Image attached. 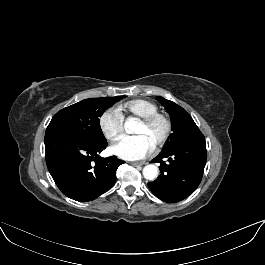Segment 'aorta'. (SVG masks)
<instances>
[{"mask_svg":"<svg viewBox=\"0 0 265 265\" xmlns=\"http://www.w3.org/2000/svg\"><path fill=\"white\" fill-rule=\"evenodd\" d=\"M136 128V121L127 119L124 123V129L128 134L134 133ZM158 168L153 164L146 165L143 168V176L147 180H154L158 176Z\"/></svg>","mask_w":265,"mask_h":265,"instance_id":"aorta-1","label":"aorta"}]
</instances>
